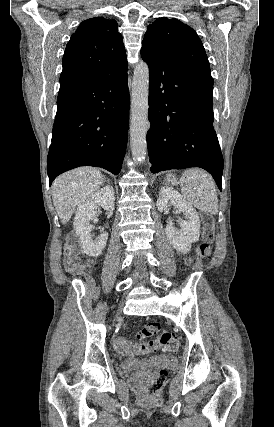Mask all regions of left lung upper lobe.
<instances>
[{"instance_id":"left-lung-upper-lobe-1","label":"left lung upper lobe","mask_w":274,"mask_h":427,"mask_svg":"<svg viewBox=\"0 0 274 427\" xmlns=\"http://www.w3.org/2000/svg\"><path fill=\"white\" fill-rule=\"evenodd\" d=\"M142 46L188 72L211 77L209 61L196 32L177 19L158 18L147 27Z\"/></svg>"}]
</instances>
